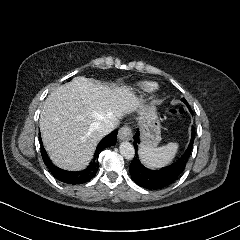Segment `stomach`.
I'll use <instances>...</instances> for the list:
<instances>
[{"label": "stomach", "mask_w": 240, "mask_h": 240, "mask_svg": "<svg viewBox=\"0 0 240 240\" xmlns=\"http://www.w3.org/2000/svg\"><path fill=\"white\" fill-rule=\"evenodd\" d=\"M144 109L138 119L140 145L155 148L161 141V128L157 116V100L142 95Z\"/></svg>", "instance_id": "1"}]
</instances>
